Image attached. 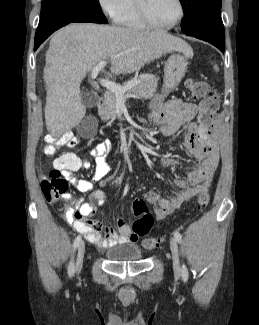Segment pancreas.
I'll list each match as a JSON object with an SVG mask.
<instances>
[{"label": "pancreas", "instance_id": "pancreas-1", "mask_svg": "<svg viewBox=\"0 0 259 325\" xmlns=\"http://www.w3.org/2000/svg\"><path fill=\"white\" fill-rule=\"evenodd\" d=\"M132 81H140L139 84L135 85L131 89L127 90L124 94L125 99L137 95L141 98H152L158 86V79L151 74H143L133 79ZM127 83H124L125 86ZM116 104L117 96L114 92L108 91L104 96V106L98 111V114L103 121H108L116 116Z\"/></svg>", "mask_w": 259, "mask_h": 325}]
</instances>
